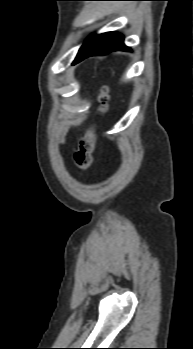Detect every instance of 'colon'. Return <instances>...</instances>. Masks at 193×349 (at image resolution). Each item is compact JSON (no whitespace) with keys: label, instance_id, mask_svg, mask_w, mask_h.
I'll return each instance as SVG.
<instances>
[{"label":"colon","instance_id":"1","mask_svg":"<svg viewBox=\"0 0 193 349\" xmlns=\"http://www.w3.org/2000/svg\"><path fill=\"white\" fill-rule=\"evenodd\" d=\"M108 90L106 87L102 88L98 98V111L100 114H105L108 109ZM96 146V136L94 127H91L85 135L81 138L78 149L74 154V162L79 171H86L93 160V153Z\"/></svg>","mask_w":193,"mask_h":349}]
</instances>
